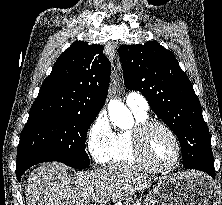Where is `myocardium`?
I'll list each match as a JSON object with an SVG mask.
<instances>
[{
  "label": "myocardium",
  "instance_id": "f54148a6",
  "mask_svg": "<svg viewBox=\"0 0 222 205\" xmlns=\"http://www.w3.org/2000/svg\"><path fill=\"white\" fill-rule=\"evenodd\" d=\"M153 128H161L166 131L169 136L173 139L176 147V156L172 163L169 165H160L154 162L148 155L145 148V138L147 133ZM134 150L137 157L144 162L146 165L157 171H170L178 166L182 157V147L178 136L174 130L166 123L157 120H145L137 123L132 131Z\"/></svg>",
  "mask_w": 222,
  "mask_h": 205
}]
</instances>
